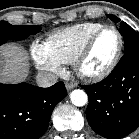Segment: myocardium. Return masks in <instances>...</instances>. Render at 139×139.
Masks as SVG:
<instances>
[{
	"label": "myocardium",
	"instance_id": "myocardium-1",
	"mask_svg": "<svg viewBox=\"0 0 139 139\" xmlns=\"http://www.w3.org/2000/svg\"><path fill=\"white\" fill-rule=\"evenodd\" d=\"M106 30H113L117 35L118 46H117L115 55L112 58V60L110 61V63L103 70H101L97 73H87L82 68L83 63H84L85 59L87 58V56L89 55L98 36ZM123 47H124V40H123V36H122L121 32L113 25H103L87 39L85 44L82 46V48L76 55V57L73 61V67H74L76 74L80 78H82L86 81H89V82H98V81H101V80L107 78L118 65L121 55H122Z\"/></svg>",
	"mask_w": 139,
	"mask_h": 139
}]
</instances>
